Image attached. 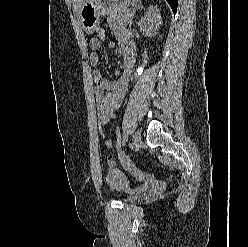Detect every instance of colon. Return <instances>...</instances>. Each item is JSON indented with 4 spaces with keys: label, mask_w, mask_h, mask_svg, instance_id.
<instances>
[{
    "label": "colon",
    "mask_w": 248,
    "mask_h": 247,
    "mask_svg": "<svg viewBox=\"0 0 248 247\" xmlns=\"http://www.w3.org/2000/svg\"><path fill=\"white\" fill-rule=\"evenodd\" d=\"M104 33L102 30H98L97 31V36L101 37L103 36ZM124 142L122 140V132L120 130V128H117L115 130V146H116V150L118 153V157L119 160L122 164V166L135 178L142 180V181H148L151 180L153 175L149 174V173H142L139 172L134 165L131 163L129 156L127 155V153L125 152V149L123 147Z\"/></svg>",
    "instance_id": "5ec220e1"
}]
</instances>
